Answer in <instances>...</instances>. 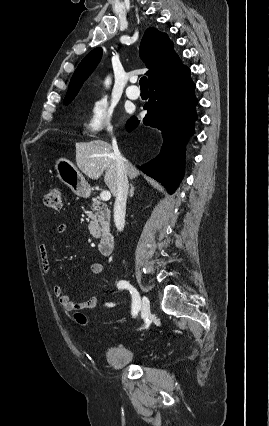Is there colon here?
I'll list each match as a JSON object with an SVG mask.
<instances>
[{"label": "colon", "instance_id": "obj_1", "mask_svg": "<svg viewBox=\"0 0 269 426\" xmlns=\"http://www.w3.org/2000/svg\"><path fill=\"white\" fill-rule=\"evenodd\" d=\"M45 205L51 209L59 210L61 208V189L59 187L51 188L45 195ZM76 322L84 326L87 323V317L80 312L74 315Z\"/></svg>", "mask_w": 269, "mask_h": 426}]
</instances>
